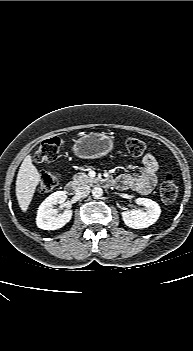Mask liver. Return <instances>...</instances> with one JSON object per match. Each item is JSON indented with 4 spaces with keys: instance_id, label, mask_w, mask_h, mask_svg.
<instances>
[{
    "instance_id": "1",
    "label": "liver",
    "mask_w": 193,
    "mask_h": 351,
    "mask_svg": "<svg viewBox=\"0 0 193 351\" xmlns=\"http://www.w3.org/2000/svg\"><path fill=\"white\" fill-rule=\"evenodd\" d=\"M40 179L41 176L32 163V157L27 155L19 168L16 179V197L23 212L27 211Z\"/></svg>"
}]
</instances>
